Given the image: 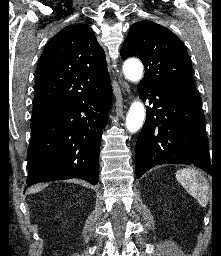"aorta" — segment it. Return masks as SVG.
I'll use <instances>...</instances> for the list:
<instances>
[{
	"instance_id": "aorta-1",
	"label": "aorta",
	"mask_w": 221,
	"mask_h": 256,
	"mask_svg": "<svg viewBox=\"0 0 221 256\" xmlns=\"http://www.w3.org/2000/svg\"><path fill=\"white\" fill-rule=\"evenodd\" d=\"M123 72L127 79L137 82L142 78L143 66L138 60H127L123 65ZM145 119V108L141 101H134L126 117V129L131 132H137L143 125Z\"/></svg>"
}]
</instances>
